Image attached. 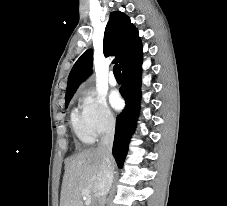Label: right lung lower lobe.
<instances>
[{"label": "right lung lower lobe", "mask_w": 227, "mask_h": 206, "mask_svg": "<svg viewBox=\"0 0 227 206\" xmlns=\"http://www.w3.org/2000/svg\"><path fill=\"white\" fill-rule=\"evenodd\" d=\"M141 64L142 59L122 71L123 84L120 91L125 99L126 106L116 119L115 138L112 150L119 168L123 167L128 151V143L135 130L139 114Z\"/></svg>", "instance_id": "98d812e1"}]
</instances>
